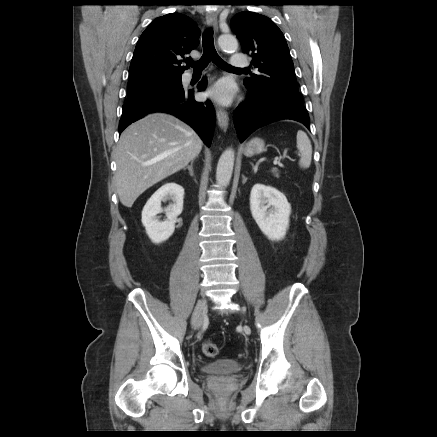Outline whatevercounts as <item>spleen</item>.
Masks as SVG:
<instances>
[{
	"instance_id": "1",
	"label": "spleen",
	"mask_w": 437,
	"mask_h": 437,
	"mask_svg": "<svg viewBox=\"0 0 437 437\" xmlns=\"http://www.w3.org/2000/svg\"><path fill=\"white\" fill-rule=\"evenodd\" d=\"M297 148L300 152L299 166L301 168H309L312 158V145L307 134L299 130L297 132Z\"/></svg>"
}]
</instances>
